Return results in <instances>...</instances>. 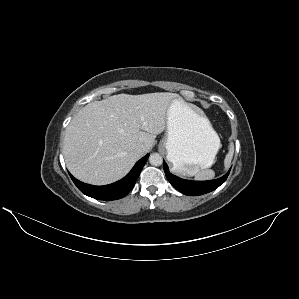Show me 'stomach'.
Segmentation results:
<instances>
[{
    "instance_id": "stomach-1",
    "label": "stomach",
    "mask_w": 299,
    "mask_h": 299,
    "mask_svg": "<svg viewBox=\"0 0 299 299\" xmlns=\"http://www.w3.org/2000/svg\"><path fill=\"white\" fill-rule=\"evenodd\" d=\"M160 148L166 149L176 173L192 175L213 164L220 139L205 116L176 98L167 109L166 134Z\"/></svg>"
}]
</instances>
